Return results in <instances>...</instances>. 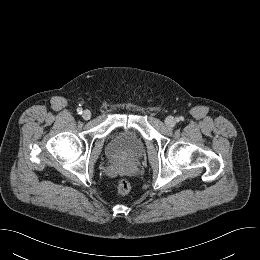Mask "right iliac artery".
I'll use <instances>...</instances> for the list:
<instances>
[{
    "label": "right iliac artery",
    "mask_w": 260,
    "mask_h": 260,
    "mask_svg": "<svg viewBox=\"0 0 260 260\" xmlns=\"http://www.w3.org/2000/svg\"><path fill=\"white\" fill-rule=\"evenodd\" d=\"M77 113H78V114H81V113H82V108H78V109H77Z\"/></svg>",
    "instance_id": "obj_1"
}]
</instances>
